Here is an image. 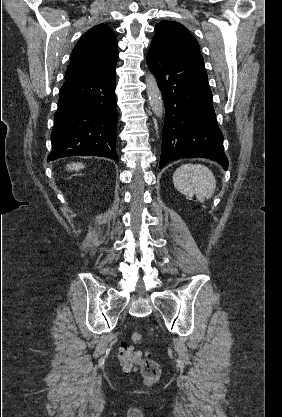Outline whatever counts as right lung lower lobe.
<instances>
[{"label":"right lung lower lobe","mask_w":282,"mask_h":417,"mask_svg":"<svg viewBox=\"0 0 282 417\" xmlns=\"http://www.w3.org/2000/svg\"><path fill=\"white\" fill-rule=\"evenodd\" d=\"M115 85L116 64L65 80L47 161L82 155L108 157L118 162Z\"/></svg>","instance_id":"98d812e1"}]
</instances>
